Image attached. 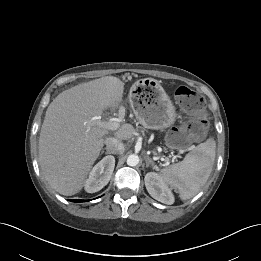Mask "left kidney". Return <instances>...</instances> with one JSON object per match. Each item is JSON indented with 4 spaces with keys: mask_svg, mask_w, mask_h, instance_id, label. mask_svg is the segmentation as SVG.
<instances>
[{
    "mask_svg": "<svg viewBox=\"0 0 261 261\" xmlns=\"http://www.w3.org/2000/svg\"><path fill=\"white\" fill-rule=\"evenodd\" d=\"M145 186L148 193L157 201L171 205L174 203V196L168 188L162 177L155 173L149 172L145 175Z\"/></svg>",
    "mask_w": 261,
    "mask_h": 261,
    "instance_id": "1",
    "label": "left kidney"
}]
</instances>
